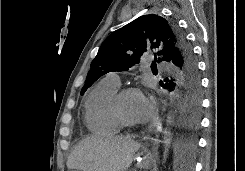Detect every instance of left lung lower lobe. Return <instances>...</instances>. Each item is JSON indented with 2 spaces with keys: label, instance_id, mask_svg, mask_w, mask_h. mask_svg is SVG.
Returning a JSON list of instances; mask_svg holds the SVG:
<instances>
[{
  "label": "left lung lower lobe",
  "instance_id": "1",
  "mask_svg": "<svg viewBox=\"0 0 245 171\" xmlns=\"http://www.w3.org/2000/svg\"><path fill=\"white\" fill-rule=\"evenodd\" d=\"M191 48V47H190ZM171 63L175 67L173 77L166 78L165 89L176 88L177 106L180 111L179 124L186 131L175 138V149L178 157L177 167H191V158L196 148L195 136L188 130L197 126L201 109L200 78L192 49L176 52Z\"/></svg>",
  "mask_w": 245,
  "mask_h": 171
}]
</instances>
